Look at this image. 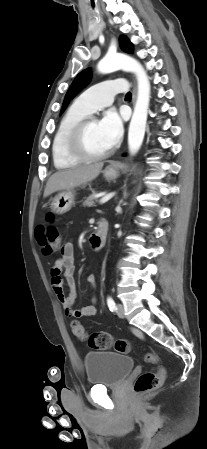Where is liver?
<instances>
[{
    "instance_id": "liver-1",
    "label": "liver",
    "mask_w": 207,
    "mask_h": 449,
    "mask_svg": "<svg viewBox=\"0 0 207 449\" xmlns=\"http://www.w3.org/2000/svg\"><path fill=\"white\" fill-rule=\"evenodd\" d=\"M102 167L103 163H96L54 173L46 184L44 197H48L56 191L69 190L92 181L99 175Z\"/></svg>"
}]
</instances>
